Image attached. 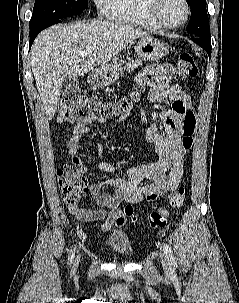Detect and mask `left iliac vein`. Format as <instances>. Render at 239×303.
Returning <instances> with one entry per match:
<instances>
[{"label":"left iliac vein","mask_w":239,"mask_h":303,"mask_svg":"<svg viewBox=\"0 0 239 303\" xmlns=\"http://www.w3.org/2000/svg\"><path fill=\"white\" fill-rule=\"evenodd\" d=\"M162 265L165 269H168V261L166 257L163 254H160Z\"/></svg>","instance_id":"4c4485c4"}]
</instances>
